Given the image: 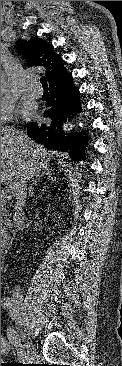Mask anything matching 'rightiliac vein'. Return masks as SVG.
I'll return each mask as SVG.
<instances>
[{
	"label": "right iliac vein",
	"mask_w": 122,
	"mask_h": 366,
	"mask_svg": "<svg viewBox=\"0 0 122 366\" xmlns=\"http://www.w3.org/2000/svg\"><path fill=\"white\" fill-rule=\"evenodd\" d=\"M12 316H13V318H14L18 323H20V322H21V313H20V311H19V309H18V307H17V306L13 307ZM22 333L24 334V337H25V330H24V329H23ZM24 346H25V345H23V346H22V349L24 348ZM27 348H28L27 353H26V352H24V353H25V354H27V355H29V354H30V352L32 351V348H31V346H30V343H29V342H28V344H27Z\"/></svg>",
	"instance_id": "63e3f726"
}]
</instances>
